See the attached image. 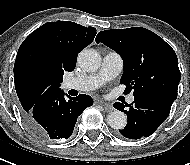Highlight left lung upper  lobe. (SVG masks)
Instances as JSON below:
<instances>
[{"label": "left lung upper lobe", "instance_id": "obj_1", "mask_svg": "<svg viewBox=\"0 0 190 165\" xmlns=\"http://www.w3.org/2000/svg\"><path fill=\"white\" fill-rule=\"evenodd\" d=\"M96 42L104 43L123 59L121 84L134 97L163 96L175 100L180 82L178 59L174 50L152 31L133 27L105 30Z\"/></svg>", "mask_w": 190, "mask_h": 165}]
</instances>
